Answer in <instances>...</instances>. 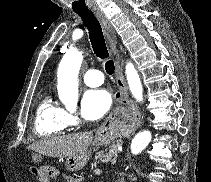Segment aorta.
<instances>
[{
	"label": "aorta",
	"mask_w": 211,
	"mask_h": 182,
	"mask_svg": "<svg viewBox=\"0 0 211 182\" xmlns=\"http://www.w3.org/2000/svg\"><path fill=\"white\" fill-rule=\"evenodd\" d=\"M83 61L82 53L78 51L67 52L58 68L57 90L61 102L69 109L76 108L78 102V73ZM126 78L133 97L143 101V87L137 70L129 62L126 64ZM152 135L149 131L139 132L131 142V152L141 153L150 143Z\"/></svg>",
	"instance_id": "1"
}]
</instances>
